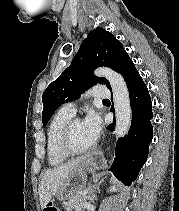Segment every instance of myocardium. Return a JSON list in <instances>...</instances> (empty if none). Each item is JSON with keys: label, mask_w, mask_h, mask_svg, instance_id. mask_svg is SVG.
I'll list each match as a JSON object with an SVG mask.
<instances>
[{"label": "myocardium", "mask_w": 179, "mask_h": 211, "mask_svg": "<svg viewBox=\"0 0 179 211\" xmlns=\"http://www.w3.org/2000/svg\"><path fill=\"white\" fill-rule=\"evenodd\" d=\"M78 121H81V120L79 118H71L65 124L61 133L60 147L63 153H65L68 156L84 155V154L90 153L95 148V143H93L91 146L84 149H78L74 146L73 140H72V133H73L74 125Z\"/></svg>", "instance_id": "myocardium-1"}]
</instances>
